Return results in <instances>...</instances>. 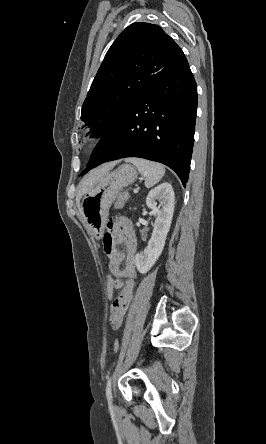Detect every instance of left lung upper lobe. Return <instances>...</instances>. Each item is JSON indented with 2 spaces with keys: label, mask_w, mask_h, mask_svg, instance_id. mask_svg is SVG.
I'll list each match as a JSON object with an SVG mask.
<instances>
[{
  "label": "left lung upper lobe",
  "mask_w": 266,
  "mask_h": 444,
  "mask_svg": "<svg viewBox=\"0 0 266 444\" xmlns=\"http://www.w3.org/2000/svg\"><path fill=\"white\" fill-rule=\"evenodd\" d=\"M185 58L160 26L129 25L114 41L92 82L81 119L91 136H104Z\"/></svg>",
  "instance_id": "1"
}]
</instances>
